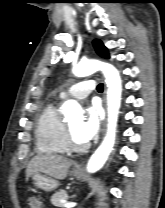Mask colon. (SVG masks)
<instances>
[{"label": "colon", "instance_id": "1", "mask_svg": "<svg viewBox=\"0 0 165 208\" xmlns=\"http://www.w3.org/2000/svg\"><path fill=\"white\" fill-rule=\"evenodd\" d=\"M29 208H43L42 202L37 197H30L28 199Z\"/></svg>", "mask_w": 165, "mask_h": 208}]
</instances>
